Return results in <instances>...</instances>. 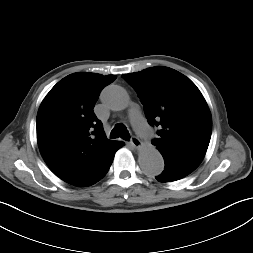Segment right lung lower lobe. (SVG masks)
<instances>
[{
	"label": "right lung lower lobe",
	"instance_id": "obj_1",
	"mask_svg": "<svg viewBox=\"0 0 253 253\" xmlns=\"http://www.w3.org/2000/svg\"><path fill=\"white\" fill-rule=\"evenodd\" d=\"M124 145V143L122 141H115V143L113 144V146L111 147L110 151L108 152L107 158H106V173L109 170L110 165L112 164L114 155L116 153V151L122 147ZM105 173V174H106Z\"/></svg>",
	"mask_w": 253,
	"mask_h": 253
}]
</instances>
